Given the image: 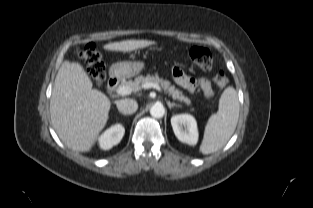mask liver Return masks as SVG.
<instances>
[{
  "label": "liver",
  "instance_id": "6515ba94",
  "mask_svg": "<svg viewBox=\"0 0 313 208\" xmlns=\"http://www.w3.org/2000/svg\"><path fill=\"white\" fill-rule=\"evenodd\" d=\"M150 40H124L104 45L108 51L130 52L155 44ZM93 84L78 62L64 61L56 75L50 99L52 126L62 142L77 152H89L105 127L109 98Z\"/></svg>",
  "mask_w": 313,
  "mask_h": 208
}]
</instances>
